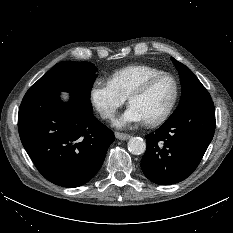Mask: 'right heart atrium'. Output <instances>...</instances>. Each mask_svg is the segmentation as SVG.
Instances as JSON below:
<instances>
[{
    "label": "right heart atrium",
    "instance_id": "right-heart-atrium-1",
    "mask_svg": "<svg viewBox=\"0 0 233 233\" xmlns=\"http://www.w3.org/2000/svg\"><path fill=\"white\" fill-rule=\"evenodd\" d=\"M90 101L102 118L113 120L126 97L110 80L96 79L90 88Z\"/></svg>",
    "mask_w": 233,
    "mask_h": 233
}]
</instances>
